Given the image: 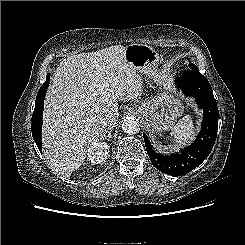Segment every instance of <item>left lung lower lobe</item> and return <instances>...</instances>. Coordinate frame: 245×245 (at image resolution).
<instances>
[{"instance_id": "obj_1", "label": "left lung lower lobe", "mask_w": 245, "mask_h": 245, "mask_svg": "<svg viewBox=\"0 0 245 245\" xmlns=\"http://www.w3.org/2000/svg\"><path fill=\"white\" fill-rule=\"evenodd\" d=\"M176 84L185 95L193 96L203 110L201 131L196 140L182 149L180 154L160 155L153 150L147 136H143L152 164L163 173L182 176L199 166L210 154L217 136L219 114L211 85L198 68L184 71L176 79Z\"/></svg>"}]
</instances>
